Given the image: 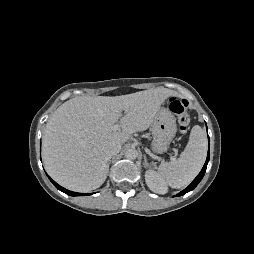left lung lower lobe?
Returning a JSON list of instances; mask_svg holds the SVG:
<instances>
[{
    "label": "left lung lower lobe",
    "instance_id": "1",
    "mask_svg": "<svg viewBox=\"0 0 254 254\" xmlns=\"http://www.w3.org/2000/svg\"><path fill=\"white\" fill-rule=\"evenodd\" d=\"M208 141H209V137H208ZM208 162H209V149H208V155H207L206 162H205L201 172L193 180V182L187 188H185L183 191H181L179 194H177V196H181V195H184V194L190 192L191 190H193L198 185V183L202 180V178L205 174Z\"/></svg>",
    "mask_w": 254,
    "mask_h": 254
}]
</instances>
